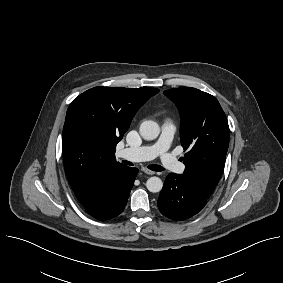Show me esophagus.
<instances>
[{
    "mask_svg": "<svg viewBox=\"0 0 283 283\" xmlns=\"http://www.w3.org/2000/svg\"><path fill=\"white\" fill-rule=\"evenodd\" d=\"M141 170H142L144 173L148 174V175H153V174H155L154 171L149 170V169H147V168H142Z\"/></svg>",
    "mask_w": 283,
    "mask_h": 283,
    "instance_id": "obj_1",
    "label": "esophagus"
}]
</instances>
